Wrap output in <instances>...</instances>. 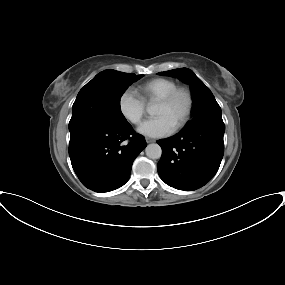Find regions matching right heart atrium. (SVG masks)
I'll list each match as a JSON object with an SVG mask.
<instances>
[{"label": "right heart atrium", "instance_id": "right-heart-atrium-1", "mask_svg": "<svg viewBox=\"0 0 285 285\" xmlns=\"http://www.w3.org/2000/svg\"><path fill=\"white\" fill-rule=\"evenodd\" d=\"M119 112L124 119L137 125L145 114V102L131 89L124 90L118 100Z\"/></svg>", "mask_w": 285, "mask_h": 285}]
</instances>
